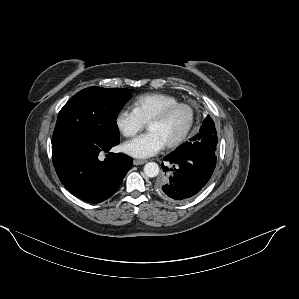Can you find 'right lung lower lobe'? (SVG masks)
<instances>
[{"label": "right lung lower lobe", "instance_id": "right-lung-lower-lobe-1", "mask_svg": "<svg viewBox=\"0 0 299 299\" xmlns=\"http://www.w3.org/2000/svg\"><path fill=\"white\" fill-rule=\"evenodd\" d=\"M117 142L75 138L52 145V159L63 185L76 197L99 203L111 197L132 166L122 153H109L100 161V152H108Z\"/></svg>", "mask_w": 299, "mask_h": 299}]
</instances>
